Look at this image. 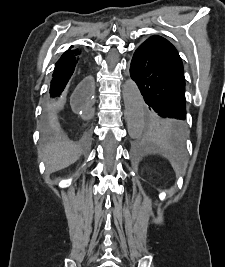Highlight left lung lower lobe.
<instances>
[{
	"instance_id": "left-lung-lower-lobe-1",
	"label": "left lung lower lobe",
	"mask_w": 225,
	"mask_h": 267,
	"mask_svg": "<svg viewBox=\"0 0 225 267\" xmlns=\"http://www.w3.org/2000/svg\"><path fill=\"white\" fill-rule=\"evenodd\" d=\"M130 76L149 109L172 121L173 132L182 138V123L186 119L185 78L176 48L161 36H151L135 51Z\"/></svg>"
}]
</instances>
